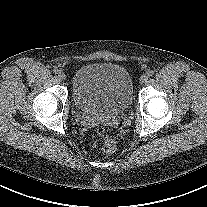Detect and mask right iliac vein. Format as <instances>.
Wrapping results in <instances>:
<instances>
[{"label":"right iliac vein","instance_id":"1","mask_svg":"<svg viewBox=\"0 0 207 207\" xmlns=\"http://www.w3.org/2000/svg\"><path fill=\"white\" fill-rule=\"evenodd\" d=\"M58 78H59L60 80H65V78H66L65 73H64L63 71L59 70V71H58Z\"/></svg>","mask_w":207,"mask_h":207}]
</instances>
